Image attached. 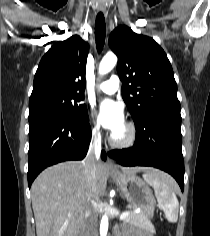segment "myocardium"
Here are the masks:
<instances>
[{"mask_svg":"<svg viewBox=\"0 0 210 236\" xmlns=\"http://www.w3.org/2000/svg\"><path fill=\"white\" fill-rule=\"evenodd\" d=\"M127 130L126 136L123 139H117L114 134L110 136V144L116 148H128L131 147L137 138V128L131 121L125 123Z\"/></svg>","mask_w":210,"mask_h":236,"instance_id":"obj_1","label":"myocardium"}]
</instances>
